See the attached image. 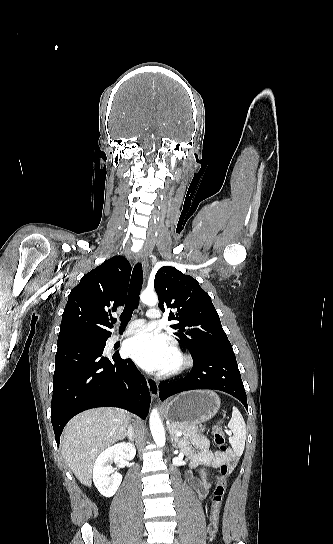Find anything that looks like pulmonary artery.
<instances>
[{
  "instance_id": "1",
  "label": "pulmonary artery",
  "mask_w": 333,
  "mask_h": 544,
  "mask_svg": "<svg viewBox=\"0 0 333 544\" xmlns=\"http://www.w3.org/2000/svg\"><path fill=\"white\" fill-rule=\"evenodd\" d=\"M147 316H148L149 319L159 320L160 317H161V314H160L159 310H157L155 308H151V309L148 310ZM144 328H145L144 320H142V319L133 320L132 322L127 324V326H126L123 333H118V334L112 335L110 340H109V343L114 344L120 338H122V337H124L126 335H129V334H133V333L142 331Z\"/></svg>"
}]
</instances>
